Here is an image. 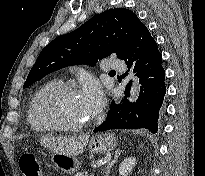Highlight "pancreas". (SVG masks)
<instances>
[{
  "label": "pancreas",
  "mask_w": 205,
  "mask_h": 176,
  "mask_svg": "<svg viewBox=\"0 0 205 176\" xmlns=\"http://www.w3.org/2000/svg\"><path fill=\"white\" fill-rule=\"evenodd\" d=\"M75 176H82V174L81 173H77Z\"/></svg>",
  "instance_id": "cf45deb5"
}]
</instances>
